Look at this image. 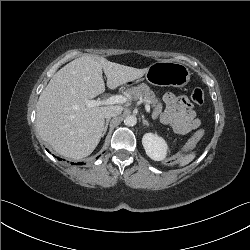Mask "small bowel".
Returning a JSON list of instances; mask_svg holds the SVG:
<instances>
[{"mask_svg":"<svg viewBox=\"0 0 250 250\" xmlns=\"http://www.w3.org/2000/svg\"><path fill=\"white\" fill-rule=\"evenodd\" d=\"M154 114L163 124L170 125L178 134H187L200 125V120L186 96L166 93Z\"/></svg>","mask_w":250,"mask_h":250,"instance_id":"small-bowel-1","label":"small bowel"}]
</instances>
